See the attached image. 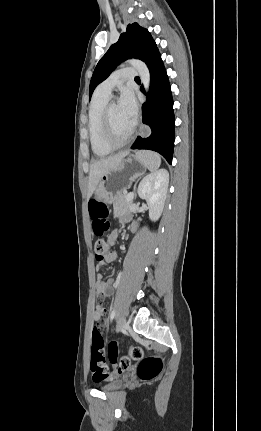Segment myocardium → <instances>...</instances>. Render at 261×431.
Segmentation results:
<instances>
[{
    "label": "myocardium",
    "instance_id": "myocardium-1",
    "mask_svg": "<svg viewBox=\"0 0 261 431\" xmlns=\"http://www.w3.org/2000/svg\"><path fill=\"white\" fill-rule=\"evenodd\" d=\"M114 102H108L106 106L103 109L102 112V118H101V124H102V137L106 145L113 149L121 148L125 145H127L130 140L132 139L134 133H135V126L131 128L127 136L123 139H118L115 137L111 122H110V110Z\"/></svg>",
    "mask_w": 261,
    "mask_h": 431
}]
</instances>
